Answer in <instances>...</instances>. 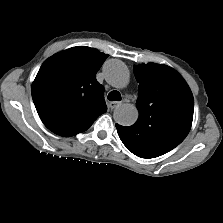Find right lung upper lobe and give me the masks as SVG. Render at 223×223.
I'll use <instances>...</instances> for the list:
<instances>
[{
    "label": "right lung upper lobe",
    "instance_id": "1",
    "mask_svg": "<svg viewBox=\"0 0 223 223\" xmlns=\"http://www.w3.org/2000/svg\"><path fill=\"white\" fill-rule=\"evenodd\" d=\"M108 55L77 46L48 58L32 84L38 115L52 132L65 137L87 130L107 111L96 73Z\"/></svg>",
    "mask_w": 223,
    "mask_h": 223
}]
</instances>
